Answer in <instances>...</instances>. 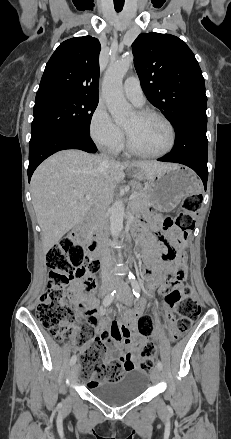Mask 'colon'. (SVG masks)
Returning a JSON list of instances; mask_svg holds the SVG:
<instances>
[{
	"mask_svg": "<svg viewBox=\"0 0 231 439\" xmlns=\"http://www.w3.org/2000/svg\"><path fill=\"white\" fill-rule=\"evenodd\" d=\"M202 197L200 194L187 196L182 209L174 219L154 216L162 231H168L176 226L180 233L174 237L180 242H186L188 233L194 229V219L200 210ZM158 239L166 241L163 234H158ZM174 258V254L170 255ZM47 265L49 268V282L47 290L41 295L36 308L37 318L41 325L48 330L57 342L71 333L73 329V309L70 304L72 295L79 291H90L95 284V276L99 272V261L91 259L85 249L76 244L72 238L65 237L53 245L47 253ZM183 271L179 269L176 275H168L169 282L183 280ZM165 303L168 306L166 319L169 324L170 334L173 339L188 332L193 322L197 319L200 308L195 299L191 286L185 285L182 289H171L166 292ZM153 320L150 316H142L138 322V332L142 336L152 333ZM78 346H85L84 352L79 356L81 364V378L96 386L101 379L116 381L121 379L125 365L118 361H108L107 350L99 338L93 336L91 331L80 335ZM146 356L139 363L141 369L149 372L153 367V357L156 355V347L148 343L143 348ZM127 368H133V363L128 362Z\"/></svg>",
	"mask_w": 231,
	"mask_h": 439,
	"instance_id": "colon-1",
	"label": "colon"
}]
</instances>
